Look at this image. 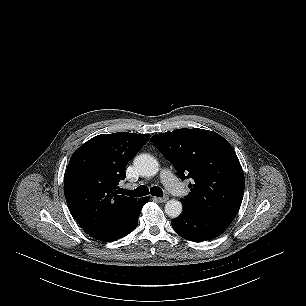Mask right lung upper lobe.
<instances>
[{
  "instance_id": "obj_1",
  "label": "right lung upper lobe",
  "mask_w": 306,
  "mask_h": 306,
  "mask_svg": "<svg viewBox=\"0 0 306 306\" xmlns=\"http://www.w3.org/2000/svg\"><path fill=\"white\" fill-rule=\"evenodd\" d=\"M150 135L128 132L93 137L71 156L64 193L78 224L91 236L103 240L125 221L137 198L118 194L128 162Z\"/></svg>"
}]
</instances>
